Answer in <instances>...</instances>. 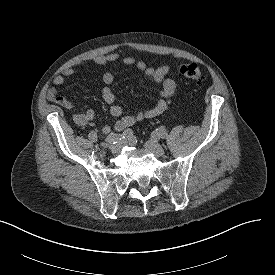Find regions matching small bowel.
Returning a JSON list of instances; mask_svg holds the SVG:
<instances>
[{"label":"small bowel","mask_w":275,"mask_h":275,"mask_svg":"<svg viewBox=\"0 0 275 275\" xmlns=\"http://www.w3.org/2000/svg\"><path fill=\"white\" fill-rule=\"evenodd\" d=\"M121 61L124 65H134L142 72L146 78L150 81L160 84L161 89L159 92L158 99L155 104L136 114L125 115L123 114V107L119 104H115V95L110 88V84L114 81V76L110 72H105L102 75V81L105 86L101 89V97L107 104H110L109 112L114 117H119L113 124H104L102 126V132L109 134L112 131L120 132L124 129L135 125L143 120L155 118L164 113L168 108L169 100L175 95L177 90V83L174 79L169 77L171 67L169 65H162L157 68L149 66L144 61H136L134 57L127 56L121 58L118 53H109L105 55H98L94 57L93 62L97 65L104 66L111 62ZM77 74V70L74 68H66L61 71L54 79L53 83L55 86H60L65 82L66 77ZM47 98L49 101L58 104L59 106L71 110L74 108V104L65 98L56 87H50L47 92ZM96 119L93 110L78 111L73 115V121L79 126H85L89 123L94 122Z\"/></svg>","instance_id":"small-bowel-1"}]
</instances>
